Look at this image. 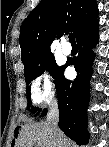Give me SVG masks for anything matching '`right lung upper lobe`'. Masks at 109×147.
<instances>
[{
  "instance_id": "cb5924a9",
  "label": "right lung upper lobe",
  "mask_w": 109,
  "mask_h": 147,
  "mask_svg": "<svg viewBox=\"0 0 109 147\" xmlns=\"http://www.w3.org/2000/svg\"><path fill=\"white\" fill-rule=\"evenodd\" d=\"M98 12L96 0H42L21 25L19 42L25 68L51 53L56 35L71 31L77 37Z\"/></svg>"
}]
</instances>
